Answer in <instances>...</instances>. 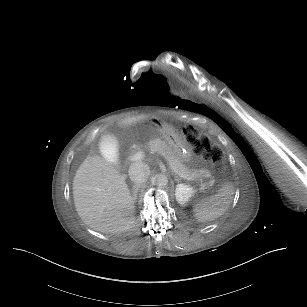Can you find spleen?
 Instances as JSON below:
<instances>
[{
	"mask_svg": "<svg viewBox=\"0 0 307 307\" xmlns=\"http://www.w3.org/2000/svg\"><path fill=\"white\" fill-rule=\"evenodd\" d=\"M233 189L224 184L217 194L209 198L208 201L200 203L194 207L196 219L199 222H212L228 209L232 201Z\"/></svg>",
	"mask_w": 307,
	"mask_h": 307,
	"instance_id": "obj_1",
	"label": "spleen"
}]
</instances>
